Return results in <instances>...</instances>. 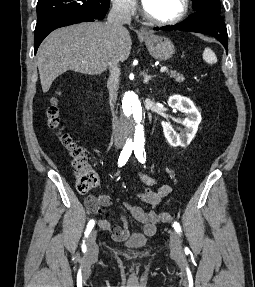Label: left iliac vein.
I'll return each mask as SVG.
<instances>
[{
    "mask_svg": "<svg viewBox=\"0 0 255 287\" xmlns=\"http://www.w3.org/2000/svg\"><path fill=\"white\" fill-rule=\"evenodd\" d=\"M169 246H170V250H171L172 255H174L176 257L181 255V253H182L181 242H180V239H179L177 232L174 230L170 231Z\"/></svg>",
    "mask_w": 255,
    "mask_h": 287,
    "instance_id": "1",
    "label": "left iliac vein"
}]
</instances>
